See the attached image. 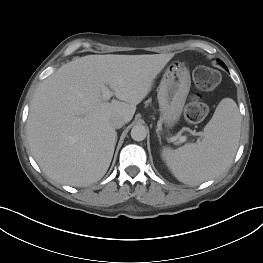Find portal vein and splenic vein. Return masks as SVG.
I'll return each mask as SVG.
<instances>
[{
    "instance_id": "obj_1",
    "label": "portal vein and splenic vein",
    "mask_w": 263,
    "mask_h": 263,
    "mask_svg": "<svg viewBox=\"0 0 263 263\" xmlns=\"http://www.w3.org/2000/svg\"><path fill=\"white\" fill-rule=\"evenodd\" d=\"M102 95L104 99L109 100L113 96V92L110 91L107 87H102ZM175 140H179L180 142L186 141V136H176Z\"/></svg>"
}]
</instances>
